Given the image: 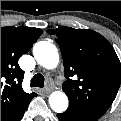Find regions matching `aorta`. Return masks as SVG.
Instances as JSON below:
<instances>
[{"mask_svg": "<svg viewBox=\"0 0 121 121\" xmlns=\"http://www.w3.org/2000/svg\"><path fill=\"white\" fill-rule=\"evenodd\" d=\"M33 55L38 64L47 69H53L59 63L56 46L47 41L37 42L33 47ZM49 104L53 111L62 113L68 108V98L64 92L55 91L49 96Z\"/></svg>", "mask_w": 121, "mask_h": 121, "instance_id": "obj_1", "label": "aorta"}]
</instances>
